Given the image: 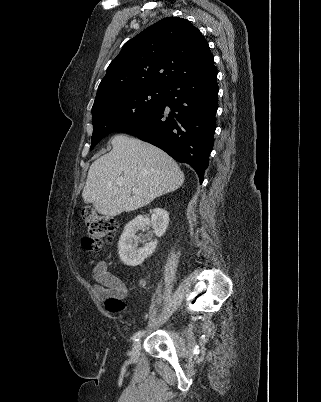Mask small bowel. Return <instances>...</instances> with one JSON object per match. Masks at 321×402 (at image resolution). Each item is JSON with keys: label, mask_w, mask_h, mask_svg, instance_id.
<instances>
[{"label": "small bowel", "mask_w": 321, "mask_h": 402, "mask_svg": "<svg viewBox=\"0 0 321 402\" xmlns=\"http://www.w3.org/2000/svg\"><path fill=\"white\" fill-rule=\"evenodd\" d=\"M96 284L93 287L99 298H123L127 294L125 284L121 279L109 272L106 264H97L92 271Z\"/></svg>", "instance_id": "obj_1"}]
</instances>
